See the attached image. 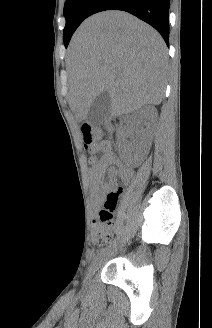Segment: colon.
Listing matches in <instances>:
<instances>
[{
    "mask_svg": "<svg viewBox=\"0 0 212 328\" xmlns=\"http://www.w3.org/2000/svg\"><path fill=\"white\" fill-rule=\"evenodd\" d=\"M81 132L85 148L93 150L97 142L101 139V132L89 124H83ZM120 192V188L110 191L106 196L104 208L99 212V228L96 234V240L98 243H109L113 239V235L110 231L112 225V212L116 208Z\"/></svg>",
    "mask_w": 212,
    "mask_h": 328,
    "instance_id": "obj_1",
    "label": "colon"
}]
</instances>
